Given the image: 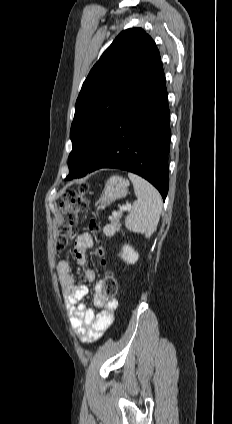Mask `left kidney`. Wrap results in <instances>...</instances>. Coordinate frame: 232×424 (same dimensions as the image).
I'll list each match as a JSON object with an SVG mask.
<instances>
[{
	"mask_svg": "<svg viewBox=\"0 0 232 424\" xmlns=\"http://www.w3.org/2000/svg\"><path fill=\"white\" fill-rule=\"evenodd\" d=\"M121 258L126 261L127 264H134L138 260L139 255L131 246L126 244L122 248Z\"/></svg>",
	"mask_w": 232,
	"mask_h": 424,
	"instance_id": "5707ae66",
	"label": "left kidney"
}]
</instances>
